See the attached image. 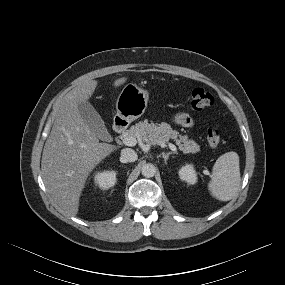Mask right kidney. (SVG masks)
I'll return each mask as SVG.
<instances>
[{"instance_id":"ca27d5eb","label":"right kidney","mask_w":285,"mask_h":285,"mask_svg":"<svg viewBox=\"0 0 285 285\" xmlns=\"http://www.w3.org/2000/svg\"><path fill=\"white\" fill-rule=\"evenodd\" d=\"M117 173L114 170L103 171L95 175V183L101 189L106 190L113 187L116 183Z\"/></svg>"}]
</instances>
